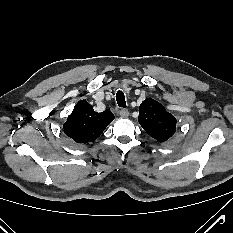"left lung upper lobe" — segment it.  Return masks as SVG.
I'll use <instances>...</instances> for the list:
<instances>
[{"label": "left lung upper lobe", "instance_id": "left-lung-upper-lobe-1", "mask_svg": "<svg viewBox=\"0 0 233 233\" xmlns=\"http://www.w3.org/2000/svg\"><path fill=\"white\" fill-rule=\"evenodd\" d=\"M138 121L142 128L159 142L168 140L176 131V118L152 98L145 99L139 106Z\"/></svg>", "mask_w": 233, "mask_h": 233}]
</instances>
